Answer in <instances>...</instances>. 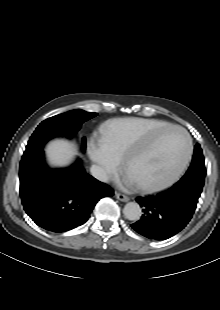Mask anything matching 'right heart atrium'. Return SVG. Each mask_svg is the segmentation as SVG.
I'll return each mask as SVG.
<instances>
[{"instance_id": "1", "label": "right heart atrium", "mask_w": 220, "mask_h": 310, "mask_svg": "<svg viewBox=\"0 0 220 310\" xmlns=\"http://www.w3.org/2000/svg\"><path fill=\"white\" fill-rule=\"evenodd\" d=\"M92 155L94 160L99 163L106 172L110 174L117 172V162L106 149L96 147L93 149Z\"/></svg>"}]
</instances>
